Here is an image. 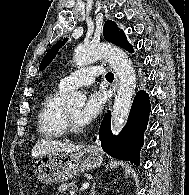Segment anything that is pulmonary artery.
<instances>
[{
    "mask_svg": "<svg viewBox=\"0 0 189 195\" xmlns=\"http://www.w3.org/2000/svg\"><path fill=\"white\" fill-rule=\"evenodd\" d=\"M100 72V67H92L90 70L86 68L75 70L64 77L59 86L64 90L70 91L81 86L91 85L100 76Z\"/></svg>",
    "mask_w": 189,
    "mask_h": 195,
    "instance_id": "obj_1",
    "label": "pulmonary artery"
}]
</instances>
